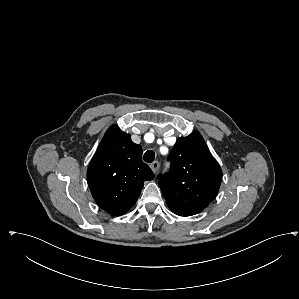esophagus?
<instances>
[{
	"instance_id": "esophagus-1",
	"label": "esophagus",
	"mask_w": 299,
	"mask_h": 299,
	"mask_svg": "<svg viewBox=\"0 0 299 299\" xmlns=\"http://www.w3.org/2000/svg\"><path fill=\"white\" fill-rule=\"evenodd\" d=\"M150 168L152 169V171L154 173H156L159 169V162L158 161H154L153 163L150 164Z\"/></svg>"
}]
</instances>
